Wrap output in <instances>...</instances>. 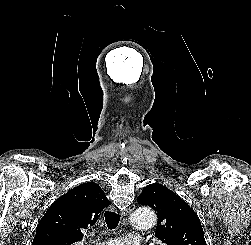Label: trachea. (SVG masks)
<instances>
[{"mask_svg":"<svg viewBox=\"0 0 251 245\" xmlns=\"http://www.w3.org/2000/svg\"><path fill=\"white\" fill-rule=\"evenodd\" d=\"M104 216L108 229H116L120 221V215L113 211H106Z\"/></svg>","mask_w":251,"mask_h":245,"instance_id":"3493384b","label":"trachea"}]
</instances>
